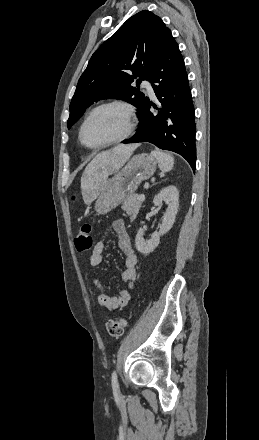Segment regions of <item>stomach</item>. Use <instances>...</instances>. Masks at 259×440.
<instances>
[{"label": "stomach", "instance_id": "obj_1", "mask_svg": "<svg viewBox=\"0 0 259 440\" xmlns=\"http://www.w3.org/2000/svg\"><path fill=\"white\" fill-rule=\"evenodd\" d=\"M156 166L157 160L148 153L133 156L119 172L108 180L96 201V212L106 214L120 205L134 194L144 180L154 174Z\"/></svg>", "mask_w": 259, "mask_h": 440}]
</instances>
